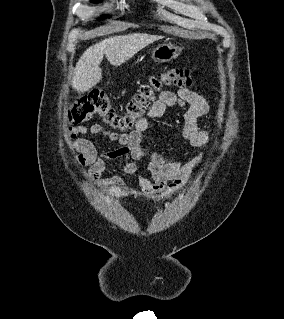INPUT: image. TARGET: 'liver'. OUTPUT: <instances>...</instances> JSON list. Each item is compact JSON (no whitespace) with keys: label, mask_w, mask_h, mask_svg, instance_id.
<instances>
[{"label":"liver","mask_w":284,"mask_h":319,"mask_svg":"<svg viewBox=\"0 0 284 319\" xmlns=\"http://www.w3.org/2000/svg\"><path fill=\"white\" fill-rule=\"evenodd\" d=\"M162 38V36L146 33H132L111 36L90 46L76 64L72 78L73 89L82 93L100 82L102 70L99 66L104 55L110 64L119 66L147 45Z\"/></svg>","instance_id":"liver-1"}]
</instances>
